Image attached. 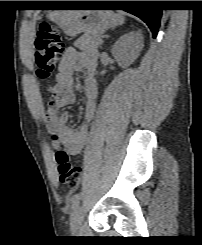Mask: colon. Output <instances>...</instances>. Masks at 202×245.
Instances as JSON below:
<instances>
[{
  "label": "colon",
  "mask_w": 202,
  "mask_h": 245,
  "mask_svg": "<svg viewBox=\"0 0 202 245\" xmlns=\"http://www.w3.org/2000/svg\"><path fill=\"white\" fill-rule=\"evenodd\" d=\"M36 74L40 79H48L55 71L63 44L58 32L49 24L39 26L34 40ZM56 138V135H53ZM60 180L76 189L80 185L81 167L71 162L70 155L64 150L56 153Z\"/></svg>",
  "instance_id": "1"
}]
</instances>
